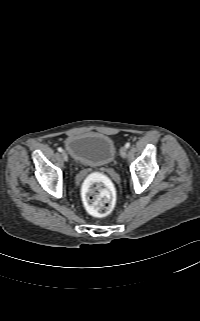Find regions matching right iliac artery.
<instances>
[{
	"label": "right iliac artery",
	"instance_id": "82829eb1",
	"mask_svg": "<svg viewBox=\"0 0 200 321\" xmlns=\"http://www.w3.org/2000/svg\"><path fill=\"white\" fill-rule=\"evenodd\" d=\"M58 151H59V152H62V151H63V149H62L61 147H59V148H58Z\"/></svg>",
	"mask_w": 200,
	"mask_h": 321
}]
</instances>
